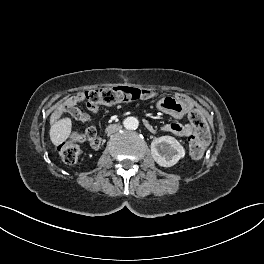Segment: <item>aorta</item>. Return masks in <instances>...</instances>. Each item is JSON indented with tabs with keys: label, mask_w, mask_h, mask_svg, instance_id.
<instances>
[{
	"label": "aorta",
	"mask_w": 264,
	"mask_h": 264,
	"mask_svg": "<svg viewBox=\"0 0 264 264\" xmlns=\"http://www.w3.org/2000/svg\"><path fill=\"white\" fill-rule=\"evenodd\" d=\"M123 125L127 130H136L138 128L139 121L137 118L130 116L125 118Z\"/></svg>",
	"instance_id": "aorta-1"
}]
</instances>
